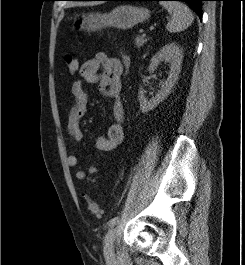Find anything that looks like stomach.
I'll use <instances>...</instances> for the list:
<instances>
[{"instance_id": "stomach-1", "label": "stomach", "mask_w": 245, "mask_h": 265, "mask_svg": "<svg viewBox=\"0 0 245 265\" xmlns=\"http://www.w3.org/2000/svg\"><path fill=\"white\" fill-rule=\"evenodd\" d=\"M150 17L148 9L132 5H120L109 13H87L74 19L75 30L97 31L105 27L130 29Z\"/></svg>"}]
</instances>
